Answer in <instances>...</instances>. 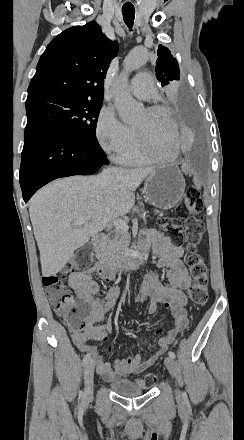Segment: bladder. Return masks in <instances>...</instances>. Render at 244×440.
<instances>
[{"label":"bladder","mask_w":244,"mask_h":440,"mask_svg":"<svg viewBox=\"0 0 244 440\" xmlns=\"http://www.w3.org/2000/svg\"><path fill=\"white\" fill-rule=\"evenodd\" d=\"M112 388L114 392L122 395H138L144 392V388H139L135 382L128 380L112 382Z\"/></svg>","instance_id":"bladder-1"}]
</instances>
